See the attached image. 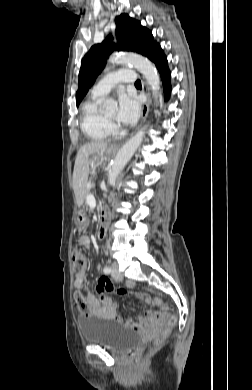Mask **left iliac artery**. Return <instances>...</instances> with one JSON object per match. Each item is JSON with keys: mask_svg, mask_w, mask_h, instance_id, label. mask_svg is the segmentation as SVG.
<instances>
[{"mask_svg": "<svg viewBox=\"0 0 252 390\" xmlns=\"http://www.w3.org/2000/svg\"><path fill=\"white\" fill-rule=\"evenodd\" d=\"M103 272H104L105 274H109V273L111 272V268H110V267H105V268L103 269Z\"/></svg>", "mask_w": 252, "mask_h": 390, "instance_id": "1", "label": "left iliac artery"}]
</instances>
